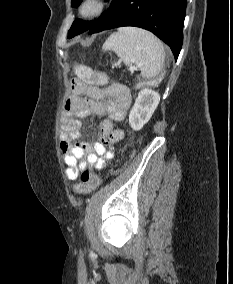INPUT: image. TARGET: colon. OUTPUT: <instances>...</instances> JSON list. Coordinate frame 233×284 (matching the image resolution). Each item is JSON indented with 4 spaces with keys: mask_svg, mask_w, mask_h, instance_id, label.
Here are the masks:
<instances>
[{
    "mask_svg": "<svg viewBox=\"0 0 233 284\" xmlns=\"http://www.w3.org/2000/svg\"><path fill=\"white\" fill-rule=\"evenodd\" d=\"M74 70L77 77L84 82L100 85L107 83V75L105 73L93 71L83 64L75 63ZM164 77L165 71H162L152 80L151 84L157 85L164 79ZM99 184V177L86 167L80 173L79 181L73 186V189L78 194H87L96 190Z\"/></svg>",
    "mask_w": 233,
    "mask_h": 284,
    "instance_id": "5ec220e1",
    "label": "colon"
}]
</instances>
